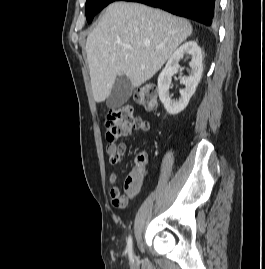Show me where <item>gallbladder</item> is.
Segmentation results:
<instances>
[{"label": "gallbladder", "instance_id": "obj_1", "mask_svg": "<svg viewBox=\"0 0 265 269\" xmlns=\"http://www.w3.org/2000/svg\"><path fill=\"white\" fill-rule=\"evenodd\" d=\"M133 89V85L128 77H118L112 87L110 95L107 98V107L110 109L121 107L130 98Z\"/></svg>", "mask_w": 265, "mask_h": 269}]
</instances>
